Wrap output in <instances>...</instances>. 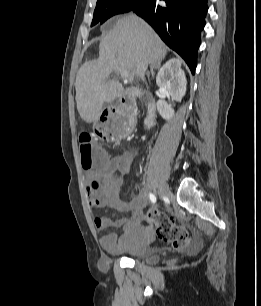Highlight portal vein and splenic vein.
Returning a JSON list of instances; mask_svg holds the SVG:
<instances>
[{
  "label": "portal vein and splenic vein",
  "instance_id": "obj_1",
  "mask_svg": "<svg viewBox=\"0 0 261 306\" xmlns=\"http://www.w3.org/2000/svg\"><path fill=\"white\" fill-rule=\"evenodd\" d=\"M121 77L125 80L128 81L129 77H130V72L129 71H123L121 74Z\"/></svg>",
  "mask_w": 261,
  "mask_h": 306
}]
</instances>
